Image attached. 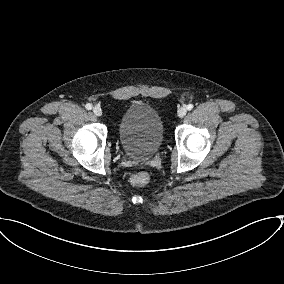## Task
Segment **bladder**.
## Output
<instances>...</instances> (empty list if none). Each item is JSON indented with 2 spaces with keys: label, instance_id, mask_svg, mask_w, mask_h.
Segmentation results:
<instances>
[{
  "label": "bladder",
  "instance_id": "1",
  "mask_svg": "<svg viewBox=\"0 0 284 284\" xmlns=\"http://www.w3.org/2000/svg\"><path fill=\"white\" fill-rule=\"evenodd\" d=\"M118 135L122 148L129 157L149 159L158 151L163 141L162 118L150 105L131 104L119 120Z\"/></svg>",
  "mask_w": 284,
  "mask_h": 284
}]
</instances>
